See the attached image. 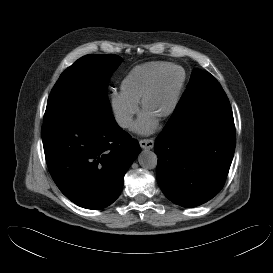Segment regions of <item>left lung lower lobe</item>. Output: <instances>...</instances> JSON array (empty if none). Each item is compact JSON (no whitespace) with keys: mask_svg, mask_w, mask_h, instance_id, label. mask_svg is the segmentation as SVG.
I'll return each instance as SVG.
<instances>
[{"mask_svg":"<svg viewBox=\"0 0 273 273\" xmlns=\"http://www.w3.org/2000/svg\"><path fill=\"white\" fill-rule=\"evenodd\" d=\"M210 84L201 87L208 91ZM235 142L225 92L197 96L175 112L154 146L157 181L165 196L183 207H196L216 196L224 186Z\"/></svg>","mask_w":273,"mask_h":273,"instance_id":"0a47b994","label":"left lung lower lobe"}]
</instances>
